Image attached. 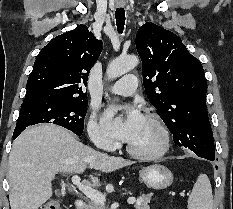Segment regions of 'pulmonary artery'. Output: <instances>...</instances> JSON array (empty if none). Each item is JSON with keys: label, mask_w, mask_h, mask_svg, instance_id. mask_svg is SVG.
<instances>
[{"label": "pulmonary artery", "mask_w": 233, "mask_h": 209, "mask_svg": "<svg viewBox=\"0 0 233 209\" xmlns=\"http://www.w3.org/2000/svg\"><path fill=\"white\" fill-rule=\"evenodd\" d=\"M137 88V77L135 75H125L116 81L111 87V93L115 95L129 96Z\"/></svg>", "instance_id": "e3ab8cb5"}]
</instances>
